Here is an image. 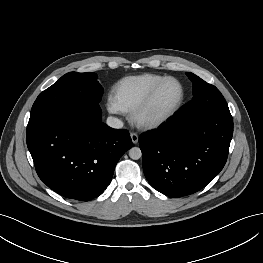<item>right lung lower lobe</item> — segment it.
Here are the masks:
<instances>
[{"label":"right lung lower lobe","instance_id":"98d812e1","mask_svg":"<svg viewBox=\"0 0 263 263\" xmlns=\"http://www.w3.org/2000/svg\"><path fill=\"white\" fill-rule=\"evenodd\" d=\"M26 141L42 182L59 195L80 201L106 189L118 160L132 147L127 130L101 122L98 104L53 116L27 131Z\"/></svg>","mask_w":263,"mask_h":263}]
</instances>
